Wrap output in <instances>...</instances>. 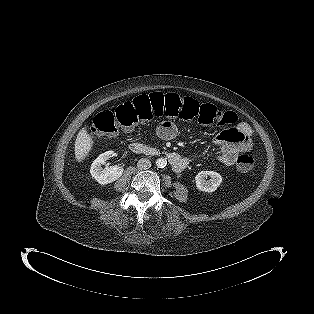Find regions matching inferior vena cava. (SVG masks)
Here are the masks:
<instances>
[{
	"label": "inferior vena cava",
	"mask_w": 314,
	"mask_h": 314,
	"mask_svg": "<svg viewBox=\"0 0 314 314\" xmlns=\"http://www.w3.org/2000/svg\"><path fill=\"white\" fill-rule=\"evenodd\" d=\"M151 167V162L148 158H141L137 163V168L139 170H146Z\"/></svg>",
	"instance_id": "1"
}]
</instances>
